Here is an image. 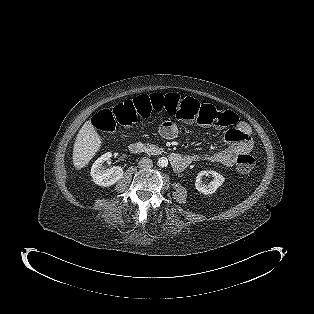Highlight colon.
<instances>
[{"label": "colon", "instance_id": "obj_1", "mask_svg": "<svg viewBox=\"0 0 314 314\" xmlns=\"http://www.w3.org/2000/svg\"><path fill=\"white\" fill-rule=\"evenodd\" d=\"M161 112L183 122H197L217 128L228 127L236 121L230 112L217 111L212 105L202 104L192 97L152 93L125 100L113 109L101 110L95 115L93 126L97 131L113 134L118 127H130L138 120ZM236 166L240 172L248 173L255 166V158L248 153L240 154Z\"/></svg>", "mask_w": 314, "mask_h": 314}]
</instances>
